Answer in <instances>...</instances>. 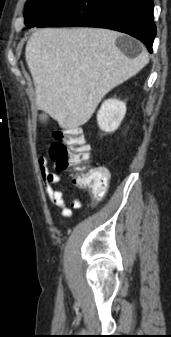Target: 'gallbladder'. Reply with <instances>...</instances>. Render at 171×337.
I'll list each match as a JSON object with an SVG mask.
<instances>
[{"label": "gallbladder", "instance_id": "bac80fb5", "mask_svg": "<svg viewBox=\"0 0 171 337\" xmlns=\"http://www.w3.org/2000/svg\"><path fill=\"white\" fill-rule=\"evenodd\" d=\"M40 120H41L42 122H45V121L47 120V115H46V114H42V115L40 116Z\"/></svg>", "mask_w": 171, "mask_h": 337}]
</instances>
